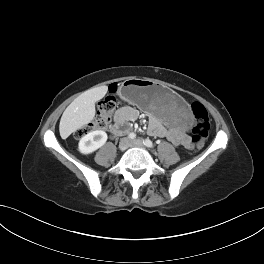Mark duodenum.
Segmentation results:
<instances>
[{"label":"duodenum","mask_w":264,"mask_h":264,"mask_svg":"<svg viewBox=\"0 0 264 264\" xmlns=\"http://www.w3.org/2000/svg\"><path fill=\"white\" fill-rule=\"evenodd\" d=\"M111 131H112V133H114V134H121V133L124 132V131H123L118 125H114V126L111 128Z\"/></svg>","instance_id":"duodenum-1"}]
</instances>
